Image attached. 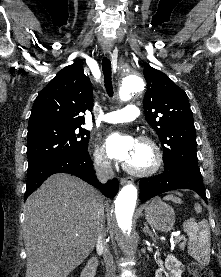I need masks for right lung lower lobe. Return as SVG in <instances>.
<instances>
[{
	"label": "right lung lower lobe",
	"mask_w": 221,
	"mask_h": 277,
	"mask_svg": "<svg viewBox=\"0 0 221 277\" xmlns=\"http://www.w3.org/2000/svg\"><path fill=\"white\" fill-rule=\"evenodd\" d=\"M55 173L75 175L99 189L106 197H114L119 189L117 179L109 180L106 184H101L95 175L93 163L88 151H80L63 158L44 162L33 170L28 171L24 200L50 175Z\"/></svg>",
	"instance_id": "obj_1"
}]
</instances>
